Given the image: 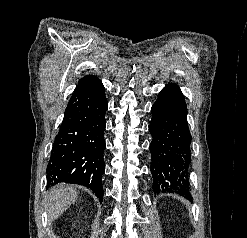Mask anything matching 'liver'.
I'll return each instance as SVG.
<instances>
[{"label": "liver", "instance_id": "6515ba94", "mask_svg": "<svg viewBox=\"0 0 247 238\" xmlns=\"http://www.w3.org/2000/svg\"><path fill=\"white\" fill-rule=\"evenodd\" d=\"M78 197V192L69 185H57L50 189L46 198V211L50 221L59 218Z\"/></svg>", "mask_w": 247, "mask_h": 238}]
</instances>
